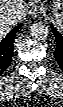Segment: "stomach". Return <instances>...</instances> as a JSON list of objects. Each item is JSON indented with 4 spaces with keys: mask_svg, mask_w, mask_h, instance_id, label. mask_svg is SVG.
I'll use <instances>...</instances> for the list:
<instances>
[{
    "mask_svg": "<svg viewBox=\"0 0 63 107\" xmlns=\"http://www.w3.org/2000/svg\"><path fill=\"white\" fill-rule=\"evenodd\" d=\"M54 21L58 27H63V2L57 1L53 9Z\"/></svg>",
    "mask_w": 63,
    "mask_h": 107,
    "instance_id": "stomach-1",
    "label": "stomach"
}]
</instances>
